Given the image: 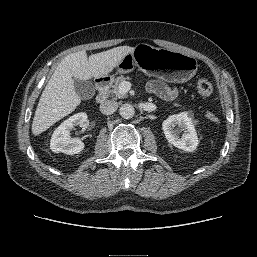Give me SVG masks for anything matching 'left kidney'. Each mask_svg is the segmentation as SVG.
I'll use <instances>...</instances> for the list:
<instances>
[{"label":"left kidney","instance_id":"1","mask_svg":"<svg viewBox=\"0 0 257 257\" xmlns=\"http://www.w3.org/2000/svg\"><path fill=\"white\" fill-rule=\"evenodd\" d=\"M178 126L179 129L174 127ZM162 129L169 143L186 152H193L198 145V138L188 112L169 116L162 123ZM183 131L182 136L179 133Z\"/></svg>","mask_w":257,"mask_h":257}]
</instances>
